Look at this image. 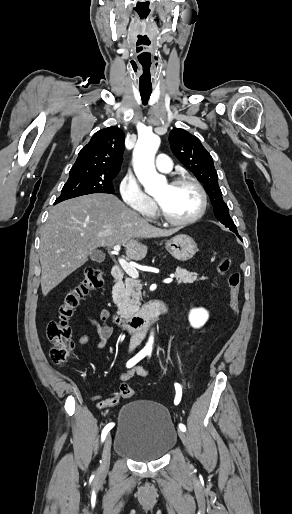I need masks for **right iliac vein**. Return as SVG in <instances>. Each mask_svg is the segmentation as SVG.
<instances>
[{
  "mask_svg": "<svg viewBox=\"0 0 292 514\" xmlns=\"http://www.w3.org/2000/svg\"><path fill=\"white\" fill-rule=\"evenodd\" d=\"M111 445H112V438L109 434L105 440L103 452H102V459L100 461V467L98 471L99 477H104L109 469L110 465V457H111Z\"/></svg>",
  "mask_w": 292,
  "mask_h": 514,
  "instance_id": "obj_1",
  "label": "right iliac vein"
}]
</instances>
